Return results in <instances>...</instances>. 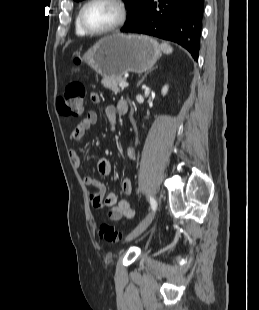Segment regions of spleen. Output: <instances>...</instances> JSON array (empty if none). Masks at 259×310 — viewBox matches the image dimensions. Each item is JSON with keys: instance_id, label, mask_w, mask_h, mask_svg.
Instances as JSON below:
<instances>
[{"instance_id": "spleen-1", "label": "spleen", "mask_w": 259, "mask_h": 310, "mask_svg": "<svg viewBox=\"0 0 259 310\" xmlns=\"http://www.w3.org/2000/svg\"><path fill=\"white\" fill-rule=\"evenodd\" d=\"M160 48L165 54H171L173 51V48L168 43H162Z\"/></svg>"}]
</instances>
